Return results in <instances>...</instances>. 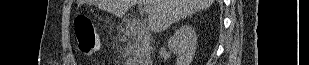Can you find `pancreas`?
Segmentation results:
<instances>
[{
    "mask_svg": "<svg viewBox=\"0 0 309 65\" xmlns=\"http://www.w3.org/2000/svg\"><path fill=\"white\" fill-rule=\"evenodd\" d=\"M135 48H136V47H135ZM137 52H138V51H137L136 49L133 50V54H134V55H136Z\"/></svg>",
    "mask_w": 309,
    "mask_h": 65,
    "instance_id": "obj_1",
    "label": "pancreas"
}]
</instances>
